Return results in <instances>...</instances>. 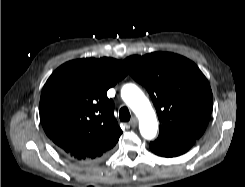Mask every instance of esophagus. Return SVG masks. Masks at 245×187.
I'll use <instances>...</instances> for the list:
<instances>
[{"mask_svg": "<svg viewBox=\"0 0 245 187\" xmlns=\"http://www.w3.org/2000/svg\"><path fill=\"white\" fill-rule=\"evenodd\" d=\"M129 125L132 127V128H135L137 125H138V120L136 117H133L130 122H129Z\"/></svg>", "mask_w": 245, "mask_h": 187, "instance_id": "34e87169", "label": "esophagus"}]
</instances>
